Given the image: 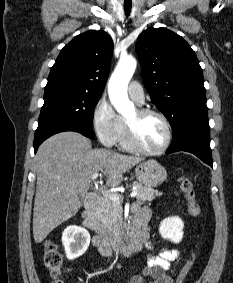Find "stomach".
<instances>
[{"label":"stomach","instance_id":"obj_1","mask_svg":"<svg viewBox=\"0 0 233 283\" xmlns=\"http://www.w3.org/2000/svg\"><path fill=\"white\" fill-rule=\"evenodd\" d=\"M137 180L148 188H154L162 184L167 178L165 168L155 160H147L138 164L135 168Z\"/></svg>","mask_w":233,"mask_h":283}]
</instances>
